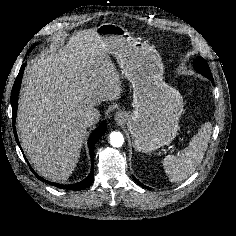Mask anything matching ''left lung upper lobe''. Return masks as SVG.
Returning <instances> with one entry per match:
<instances>
[{
  "mask_svg": "<svg viewBox=\"0 0 236 236\" xmlns=\"http://www.w3.org/2000/svg\"><path fill=\"white\" fill-rule=\"evenodd\" d=\"M194 67H195L197 72L201 73L205 77L212 76L207 62L202 57H198L195 60Z\"/></svg>",
  "mask_w": 236,
  "mask_h": 236,
  "instance_id": "1",
  "label": "left lung upper lobe"
}]
</instances>
